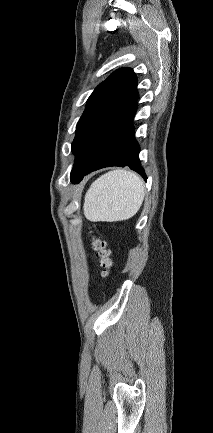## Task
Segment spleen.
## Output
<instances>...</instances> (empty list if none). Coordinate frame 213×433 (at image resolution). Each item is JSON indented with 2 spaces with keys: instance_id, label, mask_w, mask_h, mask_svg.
Masks as SVG:
<instances>
[{
  "instance_id": "obj_1",
  "label": "spleen",
  "mask_w": 213,
  "mask_h": 433,
  "mask_svg": "<svg viewBox=\"0 0 213 433\" xmlns=\"http://www.w3.org/2000/svg\"><path fill=\"white\" fill-rule=\"evenodd\" d=\"M144 196V182L136 173L116 169L91 184L84 198V215L92 222L127 220L138 212Z\"/></svg>"
}]
</instances>
